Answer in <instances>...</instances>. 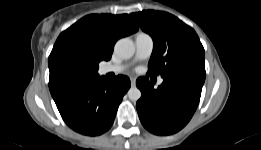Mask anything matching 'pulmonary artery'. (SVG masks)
Instances as JSON below:
<instances>
[{"instance_id": "pulmonary-artery-1", "label": "pulmonary artery", "mask_w": 261, "mask_h": 150, "mask_svg": "<svg viewBox=\"0 0 261 150\" xmlns=\"http://www.w3.org/2000/svg\"><path fill=\"white\" fill-rule=\"evenodd\" d=\"M153 39L152 37L144 32H140L135 37V57L134 61L144 60L150 57L153 51ZM127 68V65L123 64H109L105 65L100 69L101 74L108 73H121ZM163 82L162 78L158 79V83L161 84Z\"/></svg>"}]
</instances>
